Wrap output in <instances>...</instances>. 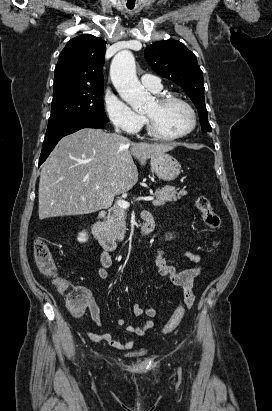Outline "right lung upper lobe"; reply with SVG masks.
I'll list each match as a JSON object with an SVG mask.
<instances>
[{
	"label": "right lung upper lobe",
	"mask_w": 272,
	"mask_h": 411,
	"mask_svg": "<svg viewBox=\"0 0 272 411\" xmlns=\"http://www.w3.org/2000/svg\"><path fill=\"white\" fill-rule=\"evenodd\" d=\"M106 42L90 34L71 39L62 50L55 68L54 92L103 85Z\"/></svg>",
	"instance_id": "1"
}]
</instances>
